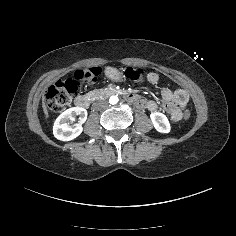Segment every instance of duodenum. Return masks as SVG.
Returning <instances> with one entry per match:
<instances>
[{
    "label": "duodenum",
    "mask_w": 236,
    "mask_h": 236,
    "mask_svg": "<svg viewBox=\"0 0 236 236\" xmlns=\"http://www.w3.org/2000/svg\"><path fill=\"white\" fill-rule=\"evenodd\" d=\"M118 91L113 89V88H105L99 91L98 95L99 96H111L117 94ZM124 98L131 103H134L138 108L144 109L148 107L151 111L155 110L156 104L155 103H148L146 100L143 98L137 97L131 93H126L124 94ZM75 106L81 109H86L90 105V98L86 95H79L75 98ZM166 109L170 112L172 117L174 118L175 115L177 114V97L174 96L172 100H168L165 103Z\"/></svg>",
    "instance_id": "1"
}]
</instances>
